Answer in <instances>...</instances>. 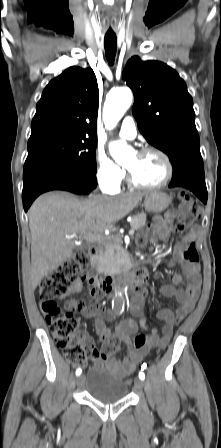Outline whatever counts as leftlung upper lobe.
Returning a JSON list of instances; mask_svg holds the SVG:
<instances>
[{
    "instance_id": "5c2ea615",
    "label": "left lung upper lobe",
    "mask_w": 221,
    "mask_h": 448,
    "mask_svg": "<svg viewBox=\"0 0 221 448\" xmlns=\"http://www.w3.org/2000/svg\"><path fill=\"white\" fill-rule=\"evenodd\" d=\"M122 77L134 93L132 112L141 134L168 155L173 168L201 157L193 100L178 73L134 56Z\"/></svg>"
}]
</instances>
